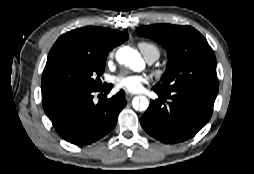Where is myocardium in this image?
Listing matches in <instances>:
<instances>
[{
    "label": "myocardium",
    "instance_id": "myocardium-1",
    "mask_svg": "<svg viewBox=\"0 0 254 174\" xmlns=\"http://www.w3.org/2000/svg\"><path fill=\"white\" fill-rule=\"evenodd\" d=\"M161 73H162V72H161V71H159V70H158V71H156V74H157V75H161Z\"/></svg>",
    "mask_w": 254,
    "mask_h": 174
}]
</instances>
